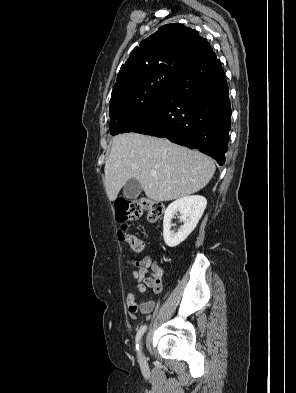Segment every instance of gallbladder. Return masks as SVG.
Masks as SVG:
<instances>
[{
  "label": "gallbladder",
  "mask_w": 296,
  "mask_h": 393,
  "mask_svg": "<svg viewBox=\"0 0 296 393\" xmlns=\"http://www.w3.org/2000/svg\"><path fill=\"white\" fill-rule=\"evenodd\" d=\"M141 192L142 186L134 178L128 180L123 189L124 197L127 199H136Z\"/></svg>",
  "instance_id": "obj_1"
}]
</instances>
